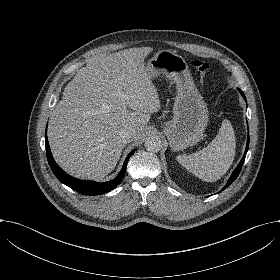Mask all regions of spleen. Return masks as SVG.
I'll return each instance as SVG.
<instances>
[{
	"label": "spleen",
	"instance_id": "1",
	"mask_svg": "<svg viewBox=\"0 0 280 280\" xmlns=\"http://www.w3.org/2000/svg\"><path fill=\"white\" fill-rule=\"evenodd\" d=\"M236 154V135L224 119L217 137L200 153L177 157L178 162L206 182H215L230 169Z\"/></svg>",
	"mask_w": 280,
	"mask_h": 280
}]
</instances>
